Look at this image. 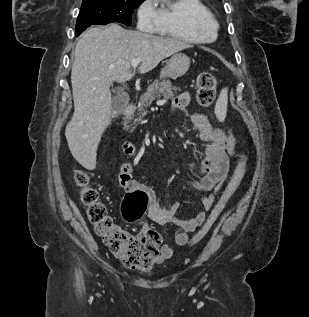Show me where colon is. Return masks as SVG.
I'll return each instance as SVG.
<instances>
[{
	"mask_svg": "<svg viewBox=\"0 0 309 317\" xmlns=\"http://www.w3.org/2000/svg\"><path fill=\"white\" fill-rule=\"evenodd\" d=\"M216 96V79L207 72L197 78V100L204 106H210ZM246 166L245 156L242 155L234 173L222 192L207 222L193 238V242L200 240L208 232L212 224L227 205L237 190L244 175ZM76 183L81 187V202L87 209L88 218L94 226L98 236L109 246L113 254L128 268L146 271L158 254L161 243L160 235L153 229L135 236L114 222L106 206L100 201L98 191L89 183V176L82 170L75 172ZM148 196L143 191L127 193L122 212L127 221L139 220L147 209Z\"/></svg>",
	"mask_w": 309,
	"mask_h": 317,
	"instance_id": "colon-1",
	"label": "colon"
}]
</instances>
